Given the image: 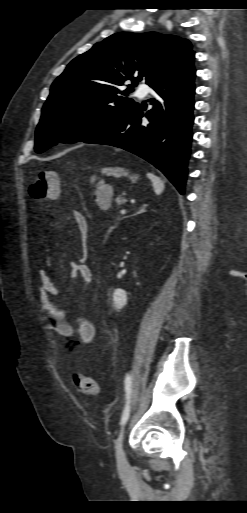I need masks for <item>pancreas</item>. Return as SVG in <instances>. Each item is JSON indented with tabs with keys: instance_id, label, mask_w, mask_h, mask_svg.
<instances>
[{
	"instance_id": "cf45deb5",
	"label": "pancreas",
	"mask_w": 247,
	"mask_h": 513,
	"mask_svg": "<svg viewBox=\"0 0 247 513\" xmlns=\"http://www.w3.org/2000/svg\"><path fill=\"white\" fill-rule=\"evenodd\" d=\"M124 201H125V200H124V199H122V200H120V201H119V203H120V204H122V203H124ZM116 220H117V222H118V221H120V220H121V217H120V216H118Z\"/></svg>"
}]
</instances>
